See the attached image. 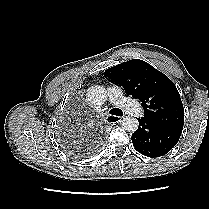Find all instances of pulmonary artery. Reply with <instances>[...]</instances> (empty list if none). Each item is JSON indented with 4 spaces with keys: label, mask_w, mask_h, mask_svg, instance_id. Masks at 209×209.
<instances>
[{
    "label": "pulmonary artery",
    "mask_w": 209,
    "mask_h": 209,
    "mask_svg": "<svg viewBox=\"0 0 209 209\" xmlns=\"http://www.w3.org/2000/svg\"><path fill=\"white\" fill-rule=\"evenodd\" d=\"M108 96L110 101L125 111L126 113L133 115V116H141L142 109L139 105L134 103L132 100L126 98L122 90L117 86H111L108 88Z\"/></svg>",
    "instance_id": "obj_1"
}]
</instances>
